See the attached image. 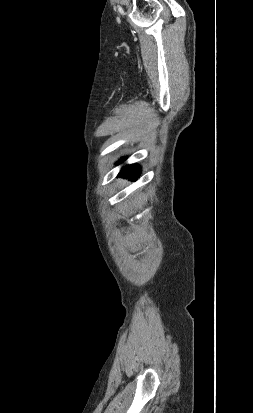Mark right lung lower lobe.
Instances as JSON below:
<instances>
[{
    "mask_svg": "<svg viewBox=\"0 0 253 413\" xmlns=\"http://www.w3.org/2000/svg\"><path fill=\"white\" fill-rule=\"evenodd\" d=\"M139 169H140V167L137 164L127 165L126 167L122 168L119 175L121 177H128V178H131V179L135 180L140 174Z\"/></svg>",
    "mask_w": 253,
    "mask_h": 413,
    "instance_id": "right-lung-lower-lobe-1",
    "label": "right lung lower lobe"
}]
</instances>
